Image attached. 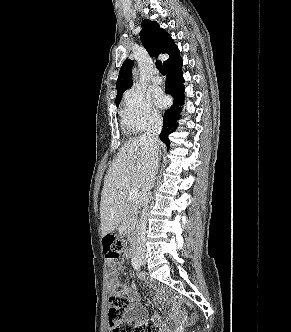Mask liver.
I'll return each mask as SVG.
<instances>
[{
  "instance_id": "6515ba94",
  "label": "liver",
  "mask_w": 291,
  "mask_h": 332,
  "mask_svg": "<svg viewBox=\"0 0 291 332\" xmlns=\"http://www.w3.org/2000/svg\"><path fill=\"white\" fill-rule=\"evenodd\" d=\"M148 171L145 144L139 138L128 140L110 167L101 192L102 236L111 233L123 218V205L129 192L143 188Z\"/></svg>"
}]
</instances>
